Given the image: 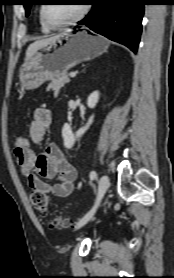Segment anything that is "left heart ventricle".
<instances>
[{"label": "left heart ventricle", "mask_w": 174, "mask_h": 278, "mask_svg": "<svg viewBox=\"0 0 174 278\" xmlns=\"http://www.w3.org/2000/svg\"><path fill=\"white\" fill-rule=\"evenodd\" d=\"M81 4L48 5L47 16L54 23H63L75 17L82 9Z\"/></svg>", "instance_id": "b2bd125f"}]
</instances>
